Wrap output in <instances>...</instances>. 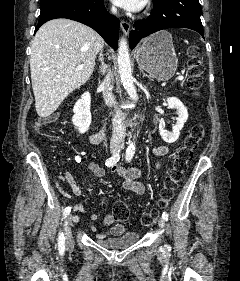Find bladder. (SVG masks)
<instances>
[{
    "label": "bladder",
    "mask_w": 240,
    "mask_h": 281,
    "mask_svg": "<svg viewBox=\"0 0 240 281\" xmlns=\"http://www.w3.org/2000/svg\"><path fill=\"white\" fill-rule=\"evenodd\" d=\"M140 239L137 232H128L117 237L99 238L97 243L110 250L126 249L136 244Z\"/></svg>",
    "instance_id": "obj_1"
}]
</instances>
